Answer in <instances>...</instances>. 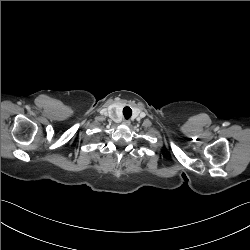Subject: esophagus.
Segmentation results:
<instances>
[{"label": "esophagus", "instance_id": "esophagus-1", "mask_svg": "<svg viewBox=\"0 0 250 250\" xmlns=\"http://www.w3.org/2000/svg\"><path fill=\"white\" fill-rule=\"evenodd\" d=\"M122 124L125 125V126H129L130 121L129 120H123Z\"/></svg>", "mask_w": 250, "mask_h": 250}]
</instances>
